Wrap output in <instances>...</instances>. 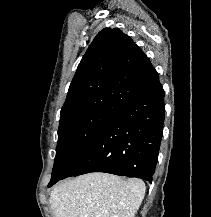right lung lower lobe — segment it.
<instances>
[{
	"label": "right lung lower lobe",
	"mask_w": 211,
	"mask_h": 217,
	"mask_svg": "<svg viewBox=\"0 0 211 217\" xmlns=\"http://www.w3.org/2000/svg\"><path fill=\"white\" fill-rule=\"evenodd\" d=\"M160 82L129 101L89 149L57 181L90 172L137 177L152 182L164 123Z\"/></svg>",
	"instance_id": "1"
}]
</instances>
